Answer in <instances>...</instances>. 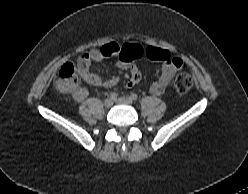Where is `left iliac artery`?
I'll use <instances>...</instances> for the list:
<instances>
[{
	"label": "left iliac artery",
	"mask_w": 248,
	"mask_h": 194,
	"mask_svg": "<svg viewBox=\"0 0 248 194\" xmlns=\"http://www.w3.org/2000/svg\"><path fill=\"white\" fill-rule=\"evenodd\" d=\"M130 98L133 100V101H136L138 99V95L135 94V93H132Z\"/></svg>",
	"instance_id": "44dca946"
}]
</instances>
